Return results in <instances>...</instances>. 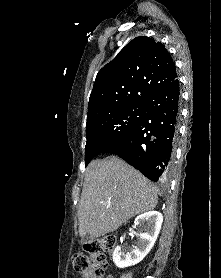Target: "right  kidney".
Listing matches in <instances>:
<instances>
[{"label": "right kidney", "mask_w": 221, "mask_h": 278, "mask_svg": "<svg viewBox=\"0 0 221 278\" xmlns=\"http://www.w3.org/2000/svg\"><path fill=\"white\" fill-rule=\"evenodd\" d=\"M163 222V216L158 211H149L139 215L134 222L135 226L145 225V232L139 235V240L133 249L125 253L117 246L113 253V262L118 268H125L142 261L152 249Z\"/></svg>", "instance_id": "obj_1"}]
</instances>
